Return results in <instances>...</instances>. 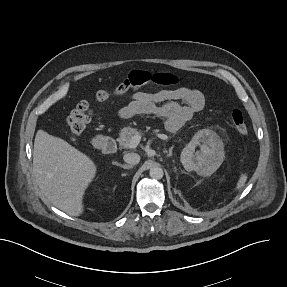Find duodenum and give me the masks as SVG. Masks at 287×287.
<instances>
[{
    "mask_svg": "<svg viewBox=\"0 0 287 287\" xmlns=\"http://www.w3.org/2000/svg\"><path fill=\"white\" fill-rule=\"evenodd\" d=\"M95 144L105 154H114L117 151V143L112 137L98 136L95 138Z\"/></svg>",
    "mask_w": 287,
    "mask_h": 287,
    "instance_id": "410a0bca",
    "label": "duodenum"
}]
</instances>
